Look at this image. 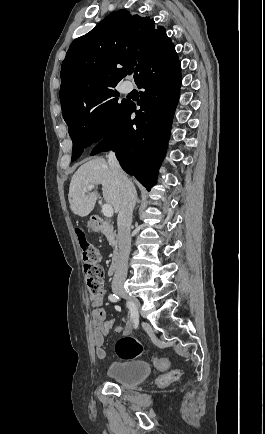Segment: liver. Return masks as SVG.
Masks as SVG:
<instances>
[{"mask_svg":"<svg viewBox=\"0 0 265 434\" xmlns=\"http://www.w3.org/2000/svg\"><path fill=\"white\" fill-rule=\"evenodd\" d=\"M98 184L102 186L105 202L113 206L115 214L119 212L120 188L115 172L104 158H96L80 166L70 182L68 198L73 214L84 218L94 210L97 192H90L85 196L83 188L98 186Z\"/></svg>","mask_w":265,"mask_h":434,"instance_id":"obj_1","label":"liver"}]
</instances>
